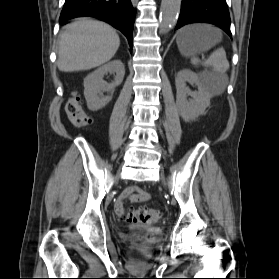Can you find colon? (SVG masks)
Returning <instances> with one entry per match:
<instances>
[{
	"mask_svg": "<svg viewBox=\"0 0 279 279\" xmlns=\"http://www.w3.org/2000/svg\"><path fill=\"white\" fill-rule=\"evenodd\" d=\"M65 111L69 121L77 128L90 124L91 118L84 111L78 94H72L66 102ZM123 217L130 223H154L159 220L160 212L152 208L129 209Z\"/></svg>",
	"mask_w": 279,
	"mask_h": 279,
	"instance_id": "obj_1",
	"label": "colon"
}]
</instances>
